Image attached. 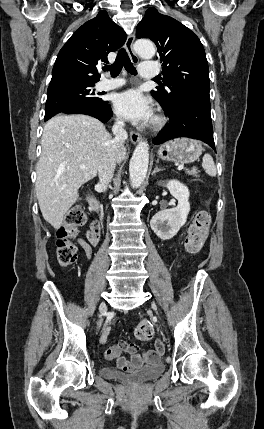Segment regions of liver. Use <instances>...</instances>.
<instances>
[{
  "instance_id": "6515ba94",
  "label": "liver",
  "mask_w": 264,
  "mask_h": 429,
  "mask_svg": "<svg viewBox=\"0 0 264 429\" xmlns=\"http://www.w3.org/2000/svg\"><path fill=\"white\" fill-rule=\"evenodd\" d=\"M110 140L105 126L87 115H58L44 126L35 190L43 218L55 229L77 201L80 186L96 176ZM125 158L123 146L117 161Z\"/></svg>"
}]
</instances>
